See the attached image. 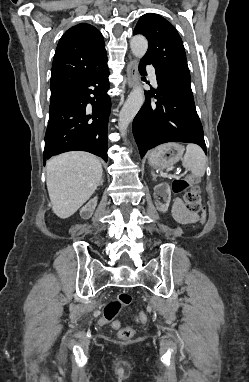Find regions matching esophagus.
I'll list each match as a JSON object with an SVG mask.
<instances>
[{"label": "esophagus", "instance_id": "1", "mask_svg": "<svg viewBox=\"0 0 249 382\" xmlns=\"http://www.w3.org/2000/svg\"><path fill=\"white\" fill-rule=\"evenodd\" d=\"M127 79L130 88L138 83V62L136 59L131 60L127 66Z\"/></svg>", "mask_w": 249, "mask_h": 382}]
</instances>
